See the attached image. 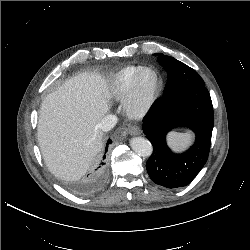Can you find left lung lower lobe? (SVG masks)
<instances>
[{
  "mask_svg": "<svg viewBox=\"0 0 250 250\" xmlns=\"http://www.w3.org/2000/svg\"><path fill=\"white\" fill-rule=\"evenodd\" d=\"M213 124L212 101L205 86L158 98L142 125L153 145L146 162L150 178L167 188L188 185L208 159ZM178 126H187L196 135L193 146L182 154L172 152L166 143L167 133Z\"/></svg>",
  "mask_w": 250,
  "mask_h": 250,
  "instance_id": "left-lung-lower-lobe-1",
  "label": "left lung lower lobe"
}]
</instances>
